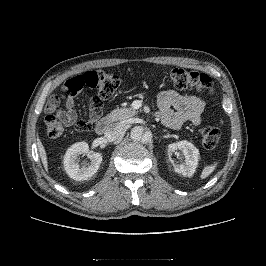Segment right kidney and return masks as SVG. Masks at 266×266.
I'll return each mask as SVG.
<instances>
[{
	"label": "right kidney",
	"mask_w": 266,
	"mask_h": 266,
	"mask_svg": "<svg viewBox=\"0 0 266 266\" xmlns=\"http://www.w3.org/2000/svg\"><path fill=\"white\" fill-rule=\"evenodd\" d=\"M81 154H86L90 158V165L80 166L78 164L77 158ZM101 162V153L90 151L86 142L75 143L64 156L65 170L69 177L76 181H84L92 177L98 171Z\"/></svg>",
	"instance_id": "1"
}]
</instances>
